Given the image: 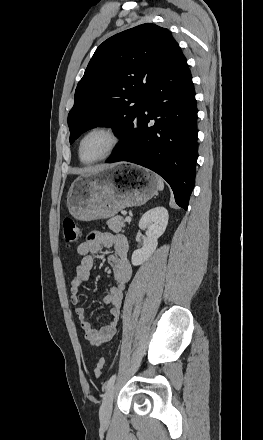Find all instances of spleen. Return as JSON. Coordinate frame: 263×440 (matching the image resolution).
<instances>
[{"label": "spleen", "mask_w": 263, "mask_h": 440, "mask_svg": "<svg viewBox=\"0 0 263 440\" xmlns=\"http://www.w3.org/2000/svg\"><path fill=\"white\" fill-rule=\"evenodd\" d=\"M158 189L163 190L164 189V181L161 177H158Z\"/></svg>", "instance_id": "obj_1"}]
</instances>
